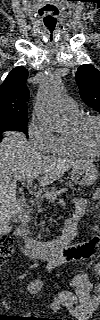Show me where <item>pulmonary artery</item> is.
Wrapping results in <instances>:
<instances>
[{"label":"pulmonary artery","mask_w":100,"mask_h":320,"mask_svg":"<svg viewBox=\"0 0 100 320\" xmlns=\"http://www.w3.org/2000/svg\"><path fill=\"white\" fill-rule=\"evenodd\" d=\"M60 109L65 114H75L79 112L78 104L71 98H64L59 102Z\"/></svg>","instance_id":"1"}]
</instances>
